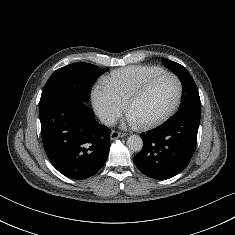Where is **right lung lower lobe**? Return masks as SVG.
Masks as SVG:
<instances>
[{
    "mask_svg": "<svg viewBox=\"0 0 235 235\" xmlns=\"http://www.w3.org/2000/svg\"><path fill=\"white\" fill-rule=\"evenodd\" d=\"M45 152L53 166L72 179H86L104 165L111 130L94 119L85 103L60 98L39 107Z\"/></svg>",
    "mask_w": 235,
    "mask_h": 235,
    "instance_id": "98d812e1",
    "label": "right lung lower lobe"
}]
</instances>
